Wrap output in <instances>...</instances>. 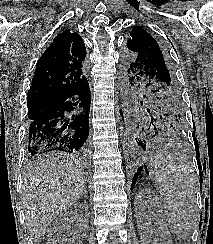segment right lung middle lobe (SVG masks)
<instances>
[{"instance_id": "dd1d6c3e", "label": "right lung middle lobe", "mask_w": 213, "mask_h": 244, "mask_svg": "<svg viewBox=\"0 0 213 244\" xmlns=\"http://www.w3.org/2000/svg\"><path fill=\"white\" fill-rule=\"evenodd\" d=\"M52 98V96L49 95H41V96H36V97H31V98H27V106H28V118L31 119L36 111L38 110V108L47 100H50Z\"/></svg>"}]
</instances>
